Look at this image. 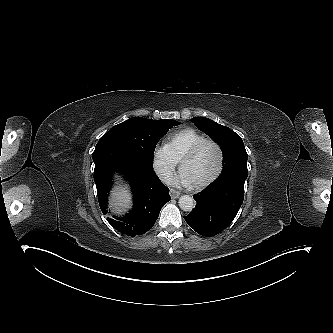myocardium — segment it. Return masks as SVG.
Returning a JSON list of instances; mask_svg holds the SVG:
<instances>
[{
	"label": "myocardium",
	"instance_id": "1",
	"mask_svg": "<svg viewBox=\"0 0 333 333\" xmlns=\"http://www.w3.org/2000/svg\"><path fill=\"white\" fill-rule=\"evenodd\" d=\"M210 144L213 145L216 150H217V154H218V162H217V166L215 171L213 172V174L208 177L206 180H203L201 182L195 183L194 187L196 189H202L205 188L207 186H209L210 184H212L221 174L222 169H223V165H224V154H223V150L222 147L220 146V144L213 140V139H204L201 142L197 143L196 145H194L181 159L180 161V166L181 169L184 168V165L190 161L191 159H193L198 152L201 150L202 147H204L205 145Z\"/></svg>",
	"mask_w": 333,
	"mask_h": 333
}]
</instances>
